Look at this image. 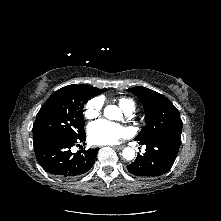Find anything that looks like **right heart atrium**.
Returning a JSON list of instances; mask_svg holds the SVG:
<instances>
[{"label":"right heart atrium","mask_w":221,"mask_h":221,"mask_svg":"<svg viewBox=\"0 0 221 221\" xmlns=\"http://www.w3.org/2000/svg\"><path fill=\"white\" fill-rule=\"evenodd\" d=\"M102 107L103 101L101 98L94 97L90 99L84 106V117L89 120L97 118L101 113Z\"/></svg>","instance_id":"1"}]
</instances>
